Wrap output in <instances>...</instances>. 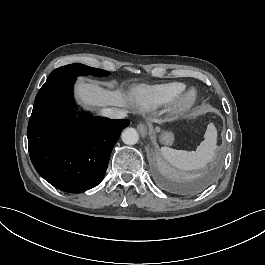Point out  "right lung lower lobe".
Wrapping results in <instances>:
<instances>
[{"mask_svg": "<svg viewBox=\"0 0 265 265\" xmlns=\"http://www.w3.org/2000/svg\"><path fill=\"white\" fill-rule=\"evenodd\" d=\"M75 80L59 79L42 86L27 136L36 171L62 191L81 193L102 181L112 148L130 121L73 116Z\"/></svg>", "mask_w": 265, "mask_h": 265, "instance_id": "obj_1", "label": "right lung lower lobe"}]
</instances>
